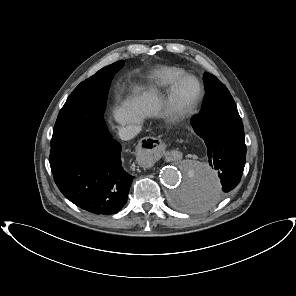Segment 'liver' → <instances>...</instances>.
<instances>
[{"instance_id":"6515ba94","label":"liver","mask_w":296,"mask_h":296,"mask_svg":"<svg viewBox=\"0 0 296 296\" xmlns=\"http://www.w3.org/2000/svg\"><path fill=\"white\" fill-rule=\"evenodd\" d=\"M161 106L158 93L147 90L141 96L127 101L121 108L115 111V119L121 124H140L145 116L156 115Z\"/></svg>"}]
</instances>
